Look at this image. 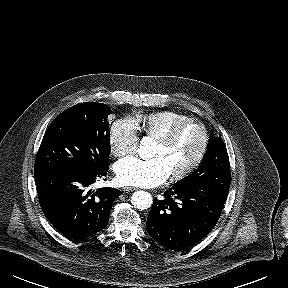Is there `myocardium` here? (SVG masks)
<instances>
[{"instance_id":"f54148a6","label":"myocardium","mask_w":288,"mask_h":288,"mask_svg":"<svg viewBox=\"0 0 288 288\" xmlns=\"http://www.w3.org/2000/svg\"><path fill=\"white\" fill-rule=\"evenodd\" d=\"M194 124L197 127H199L201 134H202V141L201 146L199 148V151L196 155V157L183 169L180 171L171 173V178L173 180H181L188 175H190L202 162L207 148L209 144V133L207 130V127L203 122H201L198 119L195 118H187L180 122H177L176 124L172 125L168 130H166L162 135L156 138V140L163 145H169L171 144L174 139L177 137V135L188 125Z\"/></svg>"}]
</instances>
